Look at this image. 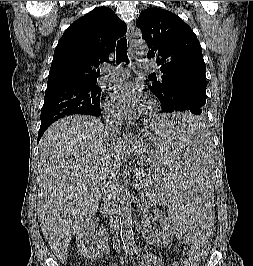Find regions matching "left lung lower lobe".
<instances>
[{
  "mask_svg": "<svg viewBox=\"0 0 253 266\" xmlns=\"http://www.w3.org/2000/svg\"><path fill=\"white\" fill-rule=\"evenodd\" d=\"M205 106L206 95L204 92L193 86H184L173 93L171 102L162 108V112L187 111L200 116L205 112ZM189 121V123L181 125L176 132H196L204 127V121L200 117H193Z\"/></svg>",
  "mask_w": 253,
  "mask_h": 266,
  "instance_id": "left-lung-lower-lobe-1",
  "label": "left lung lower lobe"
}]
</instances>
